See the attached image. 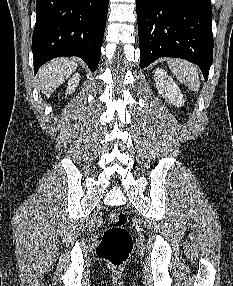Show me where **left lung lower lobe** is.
<instances>
[{"mask_svg":"<svg viewBox=\"0 0 233 286\" xmlns=\"http://www.w3.org/2000/svg\"><path fill=\"white\" fill-rule=\"evenodd\" d=\"M140 67L160 57L186 59L208 79L213 57L210 0H136Z\"/></svg>","mask_w":233,"mask_h":286,"instance_id":"left-lung-lower-lobe-1","label":"left lung lower lobe"}]
</instances>
